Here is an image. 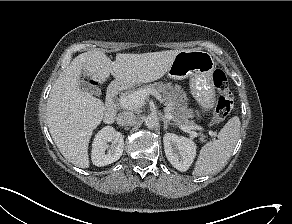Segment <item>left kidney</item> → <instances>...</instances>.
Segmentation results:
<instances>
[{
	"label": "left kidney",
	"instance_id": "left-kidney-1",
	"mask_svg": "<svg viewBox=\"0 0 292 224\" xmlns=\"http://www.w3.org/2000/svg\"><path fill=\"white\" fill-rule=\"evenodd\" d=\"M164 150L168 161L179 171L189 169L196 156V144L189 138L166 133L163 137Z\"/></svg>",
	"mask_w": 292,
	"mask_h": 224
}]
</instances>
